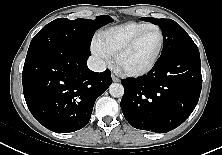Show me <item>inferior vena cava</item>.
<instances>
[{
  "label": "inferior vena cava",
  "mask_w": 222,
  "mask_h": 155,
  "mask_svg": "<svg viewBox=\"0 0 222 155\" xmlns=\"http://www.w3.org/2000/svg\"><path fill=\"white\" fill-rule=\"evenodd\" d=\"M87 65L89 69L94 72H103L106 69L105 62L102 59L95 56L89 57L87 61Z\"/></svg>",
  "instance_id": "obj_1"
}]
</instances>
